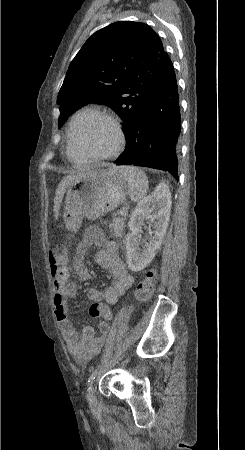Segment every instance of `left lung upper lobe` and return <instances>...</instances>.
<instances>
[{
    "instance_id": "5c2ea615",
    "label": "left lung upper lobe",
    "mask_w": 245,
    "mask_h": 450,
    "mask_svg": "<svg viewBox=\"0 0 245 450\" xmlns=\"http://www.w3.org/2000/svg\"><path fill=\"white\" fill-rule=\"evenodd\" d=\"M169 62L159 36L144 23L119 21L95 32L72 60L58 93V126L81 105L102 103L124 121L127 140Z\"/></svg>"
}]
</instances>
